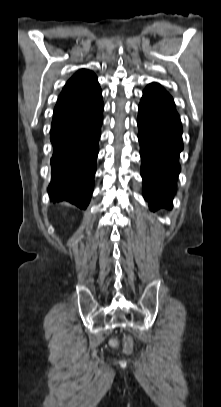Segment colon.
<instances>
[{
  "label": "colon",
  "mask_w": 221,
  "mask_h": 407,
  "mask_svg": "<svg viewBox=\"0 0 221 407\" xmlns=\"http://www.w3.org/2000/svg\"><path fill=\"white\" fill-rule=\"evenodd\" d=\"M115 345V342L111 343ZM133 351V339L131 337H125L123 339V352L125 354H130Z\"/></svg>",
  "instance_id": "obj_1"
}]
</instances>
